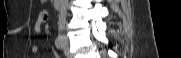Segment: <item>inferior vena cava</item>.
<instances>
[{
	"label": "inferior vena cava",
	"mask_w": 181,
	"mask_h": 58,
	"mask_svg": "<svg viewBox=\"0 0 181 58\" xmlns=\"http://www.w3.org/2000/svg\"><path fill=\"white\" fill-rule=\"evenodd\" d=\"M68 0H61L60 15L58 21L59 32L65 29Z\"/></svg>",
	"instance_id": "inferior-vena-cava-1"
}]
</instances>
